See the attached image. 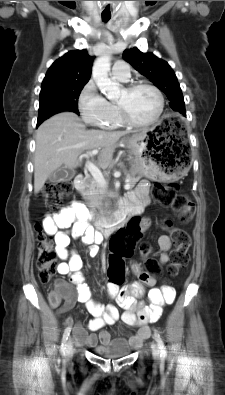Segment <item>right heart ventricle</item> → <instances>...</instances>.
<instances>
[{
	"label": "right heart ventricle",
	"instance_id": "right-heart-ventricle-1",
	"mask_svg": "<svg viewBox=\"0 0 225 395\" xmlns=\"http://www.w3.org/2000/svg\"><path fill=\"white\" fill-rule=\"evenodd\" d=\"M111 108H112V116L110 117V119L105 123L104 128L107 129H114V128H118L121 127L123 125L120 116H119V112L118 109L116 107L115 104L109 102Z\"/></svg>",
	"mask_w": 225,
	"mask_h": 395
}]
</instances>
